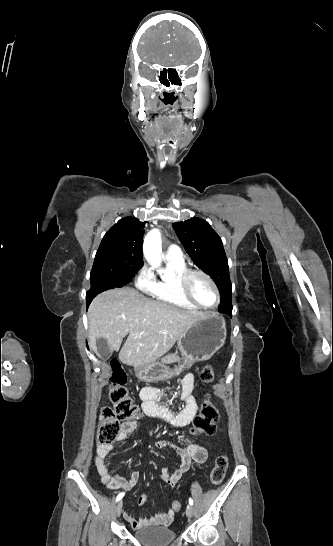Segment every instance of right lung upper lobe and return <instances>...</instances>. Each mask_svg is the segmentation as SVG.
<instances>
[{
  "label": "right lung upper lobe",
  "instance_id": "obj_1",
  "mask_svg": "<svg viewBox=\"0 0 333 546\" xmlns=\"http://www.w3.org/2000/svg\"><path fill=\"white\" fill-rule=\"evenodd\" d=\"M145 222L134 217L120 219L104 235L96 254H118L125 256L132 267H142V243Z\"/></svg>",
  "mask_w": 333,
  "mask_h": 546
}]
</instances>
